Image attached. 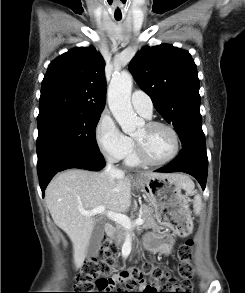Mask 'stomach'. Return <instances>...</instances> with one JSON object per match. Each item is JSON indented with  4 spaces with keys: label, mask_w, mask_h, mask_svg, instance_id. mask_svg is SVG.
Masks as SVG:
<instances>
[{
    "label": "stomach",
    "mask_w": 245,
    "mask_h": 293,
    "mask_svg": "<svg viewBox=\"0 0 245 293\" xmlns=\"http://www.w3.org/2000/svg\"><path fill=\"white\" fill-rule=\"evenodd\" d=\"M142 191L152 205L155 218L162 226L177 232L190 231L183 229V225L191 224V211L187 197L182 194V186L170 177H149L139 180ZM144 248L150 252L162 250V237L155 233H148L143 240Z\"/></svg>",
    "instance_id": "0dacf381"
}]
</instances>
